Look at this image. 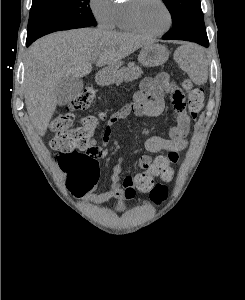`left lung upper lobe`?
Returning a JSON list of instances; mask_svg holds the SVG:
<instances>
[{
	"label": "left lung upper lobe",
	"instance_id": "5c2ea615",
	"mask_svg": "<svg viewBox=\"0 0 245 300\" xmlns=\"http://www.w3.org/2000/svg\"><path fill=\"white\" fill-rule=\"evenodd\" d=\"M172 17V30L164 37H181L204 31L205 24L200 0H162Z\"/></svg>",
	"mask_w": 245,
	"mask_h": 300
}]
</instances>
